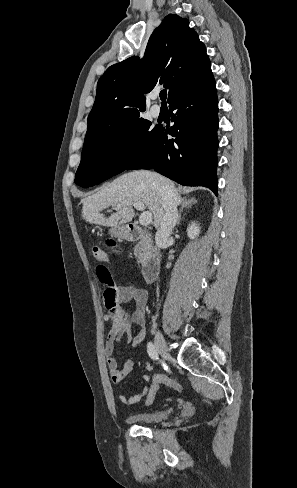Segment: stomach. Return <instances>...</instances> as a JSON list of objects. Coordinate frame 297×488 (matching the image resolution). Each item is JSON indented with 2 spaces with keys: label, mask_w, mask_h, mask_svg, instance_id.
Segmentation results:
<instances>
[{
  "label": "stomach",
  "mask_w": 297,
  "mask_h": 488,
  "mask_svg": "<svg viewBox=\"0 0 297 488\" xmlns=\"http://www.w3.org/2000/svg\"><path fill=\"white\" fill-rule=\"evenodd\" d=\"M110 234L115 238L127 239L129 238V232L125 226H116L110 229Z\"/></svg>",
  "instance_id": "1"
}]
</instances>
